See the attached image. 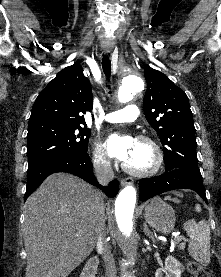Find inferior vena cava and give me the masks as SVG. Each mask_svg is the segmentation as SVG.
I'll use <instances>...</instances> for the list:
<instances>
[{
    "mask_svg": "<svg viewBox=\"0 0 221 277\" xmlns=\"http://www.w3.org/2000/svg\"><path fill=\"white\" fill-rule=\"evenodd\" d=\"M98 182L107 185L113 180L114 172L110 161H101L94 166ZM105 206L103 201L97 206V249L101 251L106 266V277H117V271L110 246L106 240Z\"/></svg>",
    "mask_w": 221,
    "mask_h": 277,
    "instance_id": "inferior-vena-cava-1",
    "label": "inferior vena cava"
}]
</instances>
